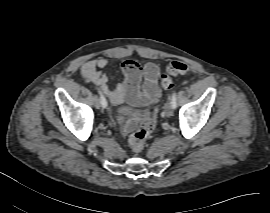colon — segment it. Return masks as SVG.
<instances>
[{
	"label": "colon",
	"instance_id": "5ec220e1",
	"mask_svg": "<svg viewBox=\"0 0 270 213\" xmlns=\"http://www.w3.org/2000/svg\"><path fill=\"white\" fill-rule=\"evenodd\" d=\"M190 72V66L180 60L170 62L166 71L161 76V85L164 89L170 90L174 87L172 76L177 74H187ZM157 121V109L148 117L147 121L129 134L128 143L131 150L138 154L142 152L147 137L154 131Z\"/></svg>",
	"mask_w": 270,
	"mask_h": 213
}]
</instances>
